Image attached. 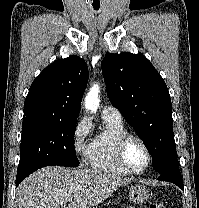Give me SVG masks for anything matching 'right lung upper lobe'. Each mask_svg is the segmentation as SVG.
<instances>
[{"mask_svg":"<svg viewBox=\"0 0 199 208\" xmlns=\"http://www.w3.org/2000/svg\"><path fill=\"white\" fill-rule=\"evenodd\" d=\"M88 78V67L80 57L72 55L54 61L31 84L24 116L77 119Z\"/></svg>","mask_w":199,"mask_h":208,"instance_id":"right-lung-upper-lobe-1","label":"right lung upper lobe"}]
</instances>
